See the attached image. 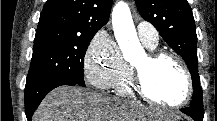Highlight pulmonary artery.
<instances>
[{
  "mask_svg": "<svg viewBox=\"0 0 217 121\" xmlns=\"http://www.w3.org/2000/svg\"><path fill=\"white\" fill-rule=\"evenodd\" d=\"M137 32L140 40L149 46H156L159 41V35L156 28L146 21H140L137 24Z\"/></svg>",
  "mask_w": 217,
  "mask_h": 121,
  "instance_id": "1",
  "label": "pulmonary artery"
}]
</instances>
